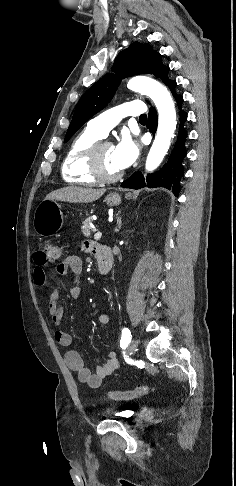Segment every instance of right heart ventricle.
<instances>
[{
    "label": "right heart ventricle",
    "instance_id": "1",
    "mask_svg": "<svg viewBox=\"0 0 236 486\" xmlns=\"http://www.w3.org/2000/svg\"><path fill=\"white\" fill-rule=\"evenodd\" d=\"M101 138L87 127L73 139L61 166V174L65 182L83 186L97 183L88 172L87 153L90 147Z\"/></svg>",
    "mask_w": 236,
    "mask_h": 486
}]
</instances>
